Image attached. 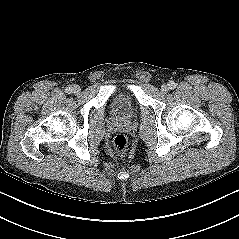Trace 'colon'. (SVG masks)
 Here are the masks:
<instances>
[{
  "label": "colon",
  "instance_id": "colon-1",
  "mask_svg": "<svg viewBox=\"0 0 239 239\" xmlns=\"http://www.w3.org/2000/svg\"><path fill=\"white\" fill-rule=\"evenodd\" d=\"M113 149L116 154L124 155L128 150V141L124 135H117L113 141Z\"/></svg>",
  "mask_w": 239,
  "mask_h": 239
}]
</instances>
